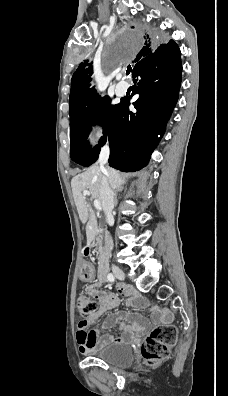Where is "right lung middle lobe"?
<instances>
[{"label":"right lung middle lobe","instance_id":"obj_1","mask_svg":"<svg viewBox=\"0 0 228 396\" xmlns=\"http://www.w3.org/2000/svg\"><path fill=\"white\" fill-rule=\"evenodd\" d=\"M118 106L119 104L111 105V99L108 96L100 97L88 108L70 117V156L73 161L84 166H89L95 162L101 146L106 142ZM95 123L103 126L104 136L97 146L90 148L87 137L91 126Z\"/></svg>","mask_w":228,"mask_h":396}]
</instances>
